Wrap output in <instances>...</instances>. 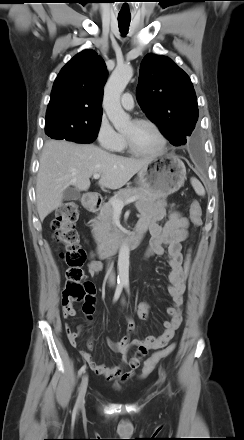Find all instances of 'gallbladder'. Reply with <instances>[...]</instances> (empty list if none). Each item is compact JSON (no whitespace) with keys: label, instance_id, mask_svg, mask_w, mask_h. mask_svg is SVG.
Segmentation results:
<instances>
[{"label":"gallbladder","instance_id":"gallbladder-1","mask_svg":"<svg viewBox=\"0 0 244 440\" xmlns=\"http://www.w3.org/2000/svg\"><path fill=\"white\" fill-rule=\"evenodd\" d=\"M80 197H81L80 192L72 187H68L63 192V199L65 201L79 200Z\"/></svg>","mask_w":244,"mask_h":440}]
</instances>
